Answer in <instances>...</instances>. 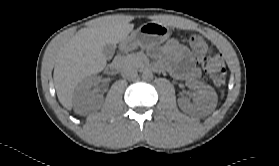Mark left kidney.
Returning <instances> with one entry per match:
<instances>
[{
	"instance_id": "1",
	"label": "left kidney",
	"mask_w": 279,
	"mask_h": 166,
	"mask_svg": "<svg viewBox=\"0 0 279 166\" xmlns=\"http://www.w3.org/2000/svg\"><path fill=\"white\" fill-rule=\"evenodd\" d=\"M187 85L194 89L195 93L193 96V103L186 98L178 99V105L184 112L192 109L203 110L204 108H207L209 104L216 101L217 95L211 86L199 81H188Z\"/></svg>"
}]
</instances>
